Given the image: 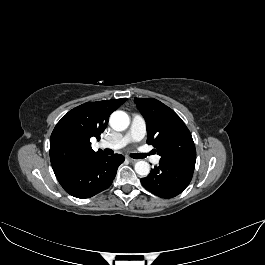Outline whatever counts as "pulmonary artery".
Instances as JSON below:
<instances>
[{
    "label": "pulmonary artery",
    "instance_id": "e3ab8cb5",
    "mask_svg": "<svg viewBox=\"0 0 265 265\" xmlns=\"http://www.w3.org/2000/svg\"><path fill=\"white\" fill-rule=\"evenodd\" d=\"M145 134L146 125L144 120L139 115L134 114L132 116L130 129L123 137L115 140L103 141L101 145L105 147L119 149L131 142H138L142 140ZM149 160L153 164H158L160 157L159 155H152L150 156Z\"/></svg>",
    "mask_w": 265,
    "mask_h": 265
}]
</instances>
